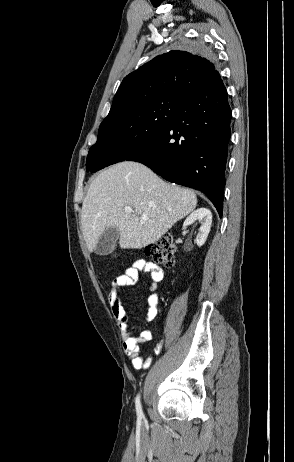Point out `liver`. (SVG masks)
Returning a JSON list of instances; mask_svg holds the SVG:
<instances>
[{"mask_svg": "<svg viewBox=\"0 0 294 462\" xmlns=\"http://www.w3.org/2000/svg\"><path fill=\"white\" fill-rule=\"evenodd\" d=\"M196 205L193 191L166 183L141 163L124 161L91 182L82 204L81 229L89 252L106 228L119 230L121 248L138 249L159 240ZM127 207L133 212H126Z\"/></svg>", "mask_w": 294, "mask_h": 462, "instance_id": "obj_1", "label": "liver"}]
</instances>
